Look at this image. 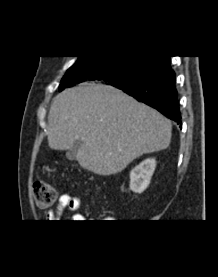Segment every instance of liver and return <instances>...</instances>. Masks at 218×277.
<instances>
[{
    "label": "liver",
    "mask_w": 218,
    "mask_h": 277,
    "mask_svg": "<svg viewBox=\"0 0 218 277\" xmlns=\"http://www.w3.org/2000/svg\"><path fill=\"white\" fill-rule=\"evenodd\" d=\"M47 129L51 149L67 150L80 139L79 165L107 176L143 154L166 149L172 126L162 114L119 89L84 83L53 99Z\"/></svg>",
    "instance_id": "obj_1"
}]
</instances>
